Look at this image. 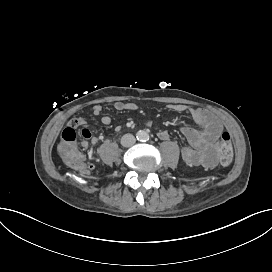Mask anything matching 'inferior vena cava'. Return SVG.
I'll return each mask as SVG.
<instances>
[{
    "instance_id": "602c4592",
    "label": "inferior vena cava",
    "mask_w": 272,
    "mask_h": 272,
    "mask_svg": "<svg viewBox=\"0 0 272 272\" xmlns=\"http://www.w3.org/2000/svg\"><path fill=\"white\" fill-rule=\"evenodd\" d=\"M135 142V137L130 133L123 135L121 138V145L124 147H131L135 144Z\"/></svg>"
}]
</instances>
